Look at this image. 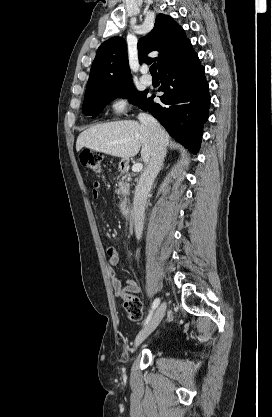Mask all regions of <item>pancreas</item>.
I'll return each mask as SVG.
<instances>
[{
    "label": "pancreas",
    "mask_w": 272,
    "mask_h": 417,
    "mask_svg": "<svg viewBox=\"0 0 272 417\" xmlns=\"http://www.w3.org/2000/svg\"><path fill=\"white\" fill-rule=\"evenodd\" d=\"M129 181H130V178H128L125 181H124V179H122V181L119 182L118 188L115 190V193L118 196H121L123 191L129 190V187H130Z\"/></svg>",
    "instance_id": "pancreas-1"
}]
</instances>
